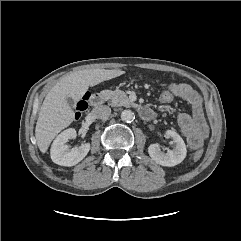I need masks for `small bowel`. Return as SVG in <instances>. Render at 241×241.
Masks as SVG:
<instances>
[{"instance_id": "1", "label": "small bowel", "mask_w": 241, "mask_h": 241, "mask_svg": "<svg viewBox=\"0 0 241 241\" xmlns=\"http://www.w3.org/2000/svg\"><path fill=\"white\" fill-rule=\"evenodd\" d=\"M168 87L174 97L185 101L190 106V113H181L178 116V125L186 137L188 146L191 149H197L207 137V124L201 97L192 86L185 83H170Z\"/></svg>"}]
</instances>
